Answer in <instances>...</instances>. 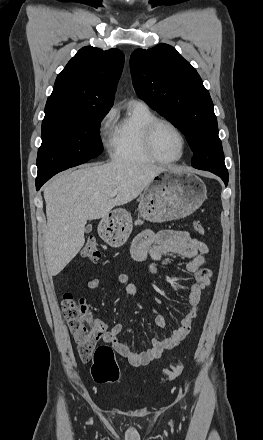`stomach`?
<instances>
[{
  "instance_id": "0dacf381",
  "label": "stomach",
  "mask_w": 263,
  "mask_h": 440,
  "mask_svg": "<svg viewBox=\"0 0 263 440\" xmlns=\"http://www.w3.org/2000/svg\"><path fill=\"white\" fill-rule=\"evenodd\" d=\"M204 182L186 171L167 169L148 185L139 201L140 215L152 222H164L189 216L205 201ZM115 219L101 227L103 239L112 247L122 246L132 231L130 215L118 210Z\"/></svg>"
}]
</instances>
